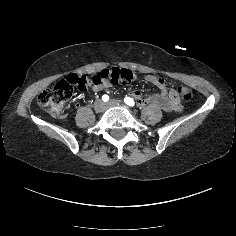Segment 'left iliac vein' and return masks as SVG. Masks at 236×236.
Segmentation results:
<instances>
[{
	"label": "left iliac vein",
	"instance_id": "1",
	"mask_svg": "<svg viewBox=\"0 0 236 236\" xmlns=\"http://www.w3.org/2000/svg\"><path fill=\"white\" fill-rule=\"evenodd\" d=\"M107 106H123V102L121 100H110L107 104Z\"/></svg>",
	"mask_w": 236,
	"mask_h": 236
}]
</instances>
